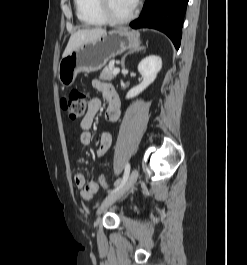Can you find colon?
Returning a JSON list of instances; mask_svg holds the SVG:
<instances>
[{"label": "colon", "mask_w": 247, "mask_h": 265, "mask_svg": "<svg viewBox=\"0 0 247 265\" xmlns=\"http://www.w3.org/2000/svg\"><path fill=\"white\" fill-rule=\"evenodd\" d=\"M87 104V93L79 89L72 90L61 100V107L68 113L72 120L79 119L85 114ZM99 184L104 189H109L110 187V181L103 173L99 175Z\"/></svg>", "instance_id": "obj_1"}]
</instances>
